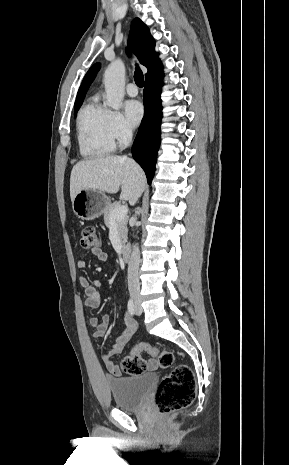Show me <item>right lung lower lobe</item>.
<instances>
[{
  "label": "right lung lower lobe",
  "mask_w": 289,
  "mask_h": 465,
  "mask_svg": "<svg viewBox=\"0 0 289 465\" xmlns=\"http://www.w3.org/2000/svg\"><path fill=\"white\" fill-rule=\"evenodd\" d=\"M162 77L163 75L145 81L143 92L145 114L132 146L133 158L145 171L149 184L154 176L156 156L160 146Z\"/></svg>",
  "instance_id": "1"
}]
</instances>
